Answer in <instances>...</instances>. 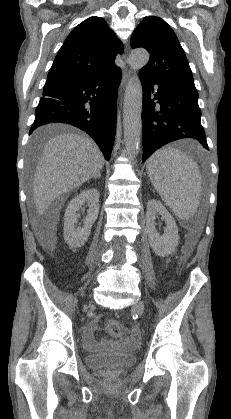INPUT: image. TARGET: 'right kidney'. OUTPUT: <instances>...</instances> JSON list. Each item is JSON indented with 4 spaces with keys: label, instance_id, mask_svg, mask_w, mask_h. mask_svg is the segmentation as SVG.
I'll return each instance as SVG.
<instances>
[{
    "label": "right kidney",
    "instance_id": "ca27d5eb",
    "mask_svg": "<svg viewBox=\"0 0 231 419\" xmlns=\"http://www.w3.org/2000/svg\"><path fill=\"white\" fill-rule=\"evenodd\" d=\"M87 203V216L83 227H75L77 223V212ZM99 213V191L90 188L81 191L75 196L67 206L64 216V239L72 248H80L87 241L92 225L96 221Z\"/></svg>",
    "mask_w": 231,
    "mask_h": 419
}]
</instances>
